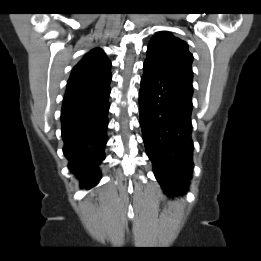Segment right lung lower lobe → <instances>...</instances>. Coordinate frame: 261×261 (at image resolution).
<instances>
[{
	"label": "right lung lower lobe",
	"mask_w": 261,
	"mask_h": 261,
	"mask_svg": "<svg viewBox=\"0 0 261 261\" xmlns=\"http://www.w3.org/2000/svg\"><path fill=\"white\" fill-rule=\"evenodd\" d=\"M109 84L64 96L61 122L63 152L69 168L87 188L100 180L98 165L104 160L108 140Z\"/></svg>",
	"instance_id": "right-lung-lower-lobe-1"
}]
</instances>
